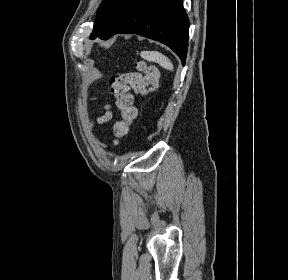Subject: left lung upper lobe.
<instances>
[{"label": "left lung upper lobe", "instance_id": "1", "mask_svg": "<svg viewBox=\"0 0 288 280\" xmlns=\"http://www.w3.org/2000/svg\"><path fill=\"white\" fill-rule=\"evenodd\" d=\"M141 0H104L97 12L91 39L110 38L126 15Z\"/></svg>", "mask_w": 288, "mask_h": 280}]
</instances>
